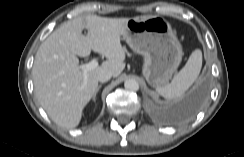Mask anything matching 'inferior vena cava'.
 <instances>
[{"label": "inferior vena cava", "instance_id": "602c4592", "mask_svg": "<svg viewBox=\"0 0 244 157\" xmlns=\"http://www.w3.org/2000/svg\"><path fill=\"white\" fill-rule=\"evenodd\" d=\"M112 77V72L110 70H102L97 76V80L100 82H107Z\"/></svg>", "mask_w": 244, "mask_h": 157}]
</instances>
